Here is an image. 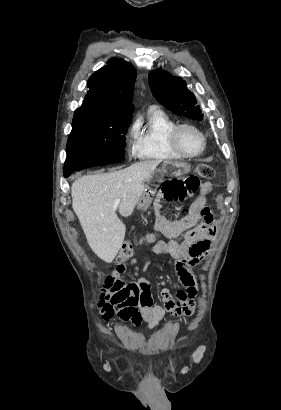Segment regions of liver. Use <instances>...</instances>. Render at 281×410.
Listing matches in <instances>:
<instances>
[{"label": "liver", "mask_w": 281, "mask_h": 410, "mask_svg": "<svg viewBox=\"0 0 281 410\" xmlns=\"http://www.w3.org/2000/svg\"><path fill=\"white\" fill-rule=\"evenodd\" d=\"M159 160L134 163L110 173L86 175L71 187L72 208L76 213L92 251L106 263L116 257L124 241L126 227L116 210L130 216L144 189V182L156 169ZM120 204L115 207L114 201Z\"/></svg>", "instance_id": "liver-1"}]
</instances>
